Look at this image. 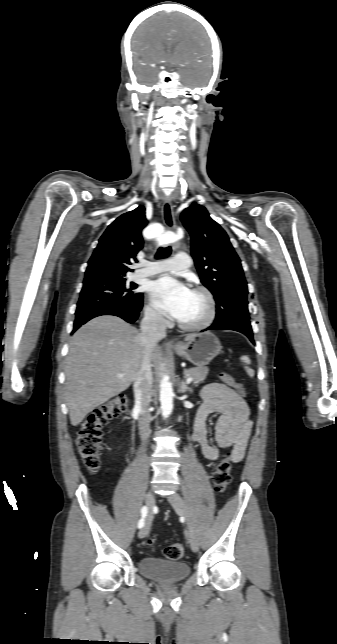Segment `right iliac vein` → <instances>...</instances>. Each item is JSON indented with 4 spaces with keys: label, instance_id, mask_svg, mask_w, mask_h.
<instances>
[{
    "label": "right iliac vein",
    "instance_id": "1",
    "mask_svg": "<svg viewBox=\"0 0 337 644\" xmlns=\"http://www.w3.org/2000/svg\"><path fill=\"white\" fill-rule=\"evenodd\" d=\"M145 503H146V505L148 506V508H149L150 510L153 508V506H154V504H155V498H154V495L152 494V492H148V493L146 494V496H145ZM150 516H151V515H149V517H148V519H147L146 524H145V525L143 526V528L139 531V533H138V537H139V538H144V537L148 534V532H149V530H150Z\"/></svg>",
    "mask_w": 337,
    "mask_h": 644
}]
</instances>
